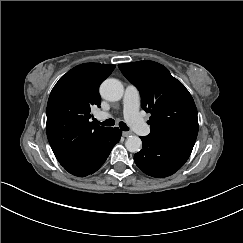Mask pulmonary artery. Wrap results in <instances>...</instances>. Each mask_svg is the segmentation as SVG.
Listing matches in <instances>:
<instances>
[{
    "instance_id": "1",
    "label": "pulmonary artery",
    "mask_w": 243,
    "mask_h": 243,
    "mask_svg": "<svg viewBox=\"0 0 243 243\" xmlns=\"http://www.w3.org/2000/svg\"><path fill=\"white\" fill-rule=\"evenodd\" d=\"M122 110L124 120L129 124H133L140 118V92L133 84L125 86ZM94 116L98 120H105L110 117V114L105 111H97L94 113Z\"/></svg>"
}]
</instances>
